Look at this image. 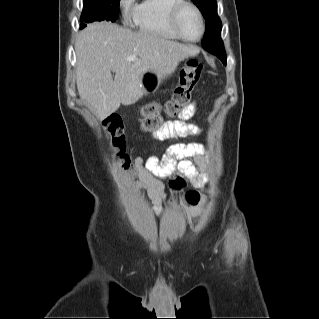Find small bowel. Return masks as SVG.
<instances>
[{"label": "small bowel", "instance_id": "c3829d8e", "mask_svg": "<svg viewBox=\"0 0 319 319\" xmlns=\"http://www.w3.org/2000/svg\"><path fill=\"white\" fill-rule=\"evenodd\" d=\"M194 113L195 106L191 104L181 112L178 120L165 121L162 128L153 133V139L163 142L180 139L190 133L200 134L199 127L187 123V120ZM204 150V145L197 142L174 143L167 148L162 158L150 155L147 158L136 159V165L141 169V185L148 192L154 215L160 216L167 205L175 208L174 204L166 202L165 188L159 179L160 177L179 171L189 178L196 187H203L204 179L198 176L191 159L194 158L197 163H200V156Z\"/></svg>", "mask_w": 319, "mask_h": 319}]
</instances>
